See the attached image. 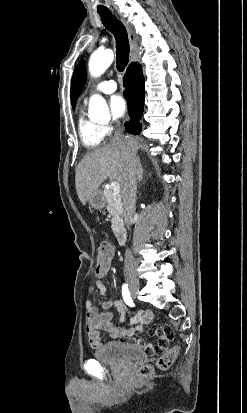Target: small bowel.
<instances>
[{
  "label": "small bowel",
  "mask_w": 247,
  "mask_h": 413,
  "mask_svg": "<svg viewBox=\"0 0 247 413\" xmlns=\"http://www.w3.org/2000/svg\"><path fill=\"white\" fill-rule=\"evenodd\" d=\"M97 268V267H96ZM103 277L96 276L92 285L88 287V293L91 294L95 290L101 296L106 294V286L102 281ZM100 309H104L105 312H100ZM113 311L120 313L119 323H112ZM153 313L150 310H141L134 315L129 322V326H124L126 320L125 306L119 300L108 299L97 304H93L90 301L86 302V320L85 330L91 346L98 348L102 345L101 331L107 332L111 338L115 339L114 346L116 349H144L148 355H165L167 353L168 342L162 341L161 346H151L150 342L144 340H138L135 334L138 331H144L147 325L152 321ZM151 329L157 331L158 337L164 336V331L167 329L166 323L153 322ZM148 336L152 335L151 331L147 332ZM167 338H174L176 331L174 329H167L165 331ZM106 348L112 347L111 341L105 342Z\"/></svg>",
  "instance_id": "small-bowel-1"
}]
</instances>
